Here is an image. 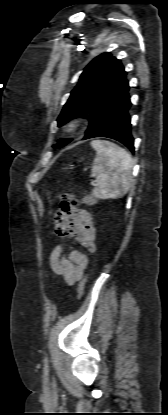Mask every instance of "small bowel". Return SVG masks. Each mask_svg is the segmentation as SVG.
<instances>
[{
	"label": "small bowel",
	"instance_id": "c3829d8e",
	"mask_svg": "<svg viewBox=\"0 0 168 415\" xmlns=\"http://www.w3.org/2000/svg\"><path fill=\"white\" fill-rule=\"evenodd\" d=\"M69 199L63 198L60 210L56 213V232L73 237L88 253H93L96 246L92 217L87 210L76 207L75 201ZM49 262L53 272L62 276L68 285H72L83 277L89 258L79 250H72L65 255L62 245H56L50 253Z\"/></svg>",
	"mask_w": 168,
	"mask_h": 415
}]
</instances>
